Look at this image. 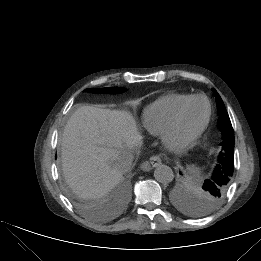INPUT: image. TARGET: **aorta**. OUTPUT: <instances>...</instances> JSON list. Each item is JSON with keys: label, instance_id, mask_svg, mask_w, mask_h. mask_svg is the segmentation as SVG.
<instances>
[{"label": "aorta", "instance_id": "762f6f07", "mask_svg": "<svg viewBox=\"0 0 261 261\" xmlns=\"http://www.w3.org/2000/svg\"><path fill=\"white\" fill-rule=\"evenodd\" d=\"M154 177L160 183H170L174 179V173L169 166L159 165L154 170Z\"/></svg>", "mask_w": 261, "mask_h": 261}]
</instances>
